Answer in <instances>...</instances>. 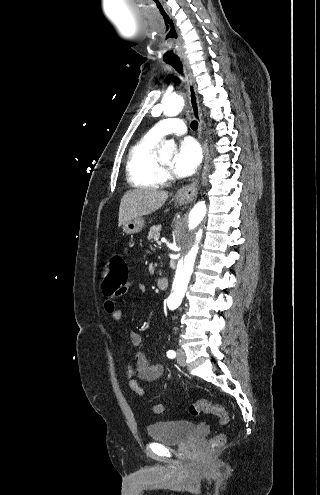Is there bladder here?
Here are the masks:
<instances>
[{
	"instance_id": "1",
	"label": "bladder",
	"mask_w": 320,
	"mask_h": 495,
	"mask_svg": "<svg viewBox=\"0 0 320 495\" xmlns=\"http://www.w3.org/2000/svg\"><path fill=\"white\" fill-rule=\"evenodd\" d=\"M196 431V424L188 420L159 421L147 427L151 439L176 445L188 440Z\"/></svg>"
}]
</instances>
